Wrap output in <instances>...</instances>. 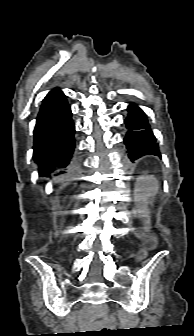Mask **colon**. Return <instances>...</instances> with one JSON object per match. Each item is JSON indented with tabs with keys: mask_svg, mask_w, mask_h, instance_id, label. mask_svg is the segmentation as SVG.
Instances as JSON below:
<instances>
[{
	"mask_svg": "<svg viewBox=\"0 0 194 336\" xmlns=\"http://www.w3.org/2000/svg\"><path fill=\"white\" fill-rule=\"evenodd\" d=\"M157 247V240L154 237H149L144 244L142 250L139 251V255L143 256L147 251H151Z\"/></svg>",
	"mask_w": 194,
	"mask_h": 336,
	"instance_id": "1",
	"label": "colon"
}]
</instances>
